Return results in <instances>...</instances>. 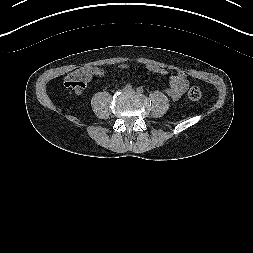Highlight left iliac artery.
<instances>
[{
  "label": "left iliac artery",
  "mask_w": 253,
  "mask_h": 253,
  "mask_svg": "<svg viewBox=\"0 0 253 253\" xmlns=\"http://www.w3.org/2000/svg\"><path fill=\"white\" fill-rule=\"evenodd\" d=\"M143 91H144V89H143L142 87H138V88H137V92H138V93H143Z\"/></svg>",
  "instance_id": "obj_1"
}]
</instances>
